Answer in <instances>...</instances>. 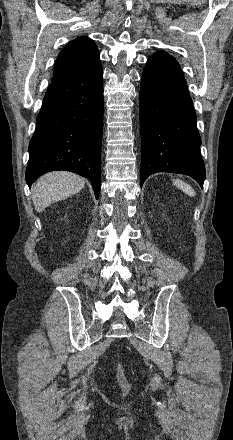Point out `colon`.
Instances as JSON below:
<instances>
[{
    "instance_id": "5ec220e1",
    "label": "colon",
    "mask_w": 233,
    "mask_h": 440,
    "mask_svg": "<svg viewBox=\"0 0 233 440\" xmlns=\"http://www.w3.org/2000/svg\"><path fill=\"white\" fill-rule=\"evenodd\" d=\"M117 380L123 392L126 393L129 390V384L121 365H119L117 369Z\"/></svg>"
}]
</instances>
